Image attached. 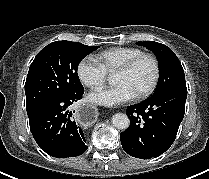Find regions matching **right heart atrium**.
<instances>
[{
	"label": "right heart atrium",
	"instance_id": "1",
	"mask_svg": "<svg viewBox=\"0 0 209 179\" xmlns=\"http://www.w3.org/2000/svg\"><path fill=\"white\" fill-rule=\"evenodd\" d=\"M77 75L83 85L95 90L101 88L107 78V73L93 57L83 58L77 66Z\"/></svg>",
	"mask_w": 209,
	"mask_h": 179
}]
</instances>
